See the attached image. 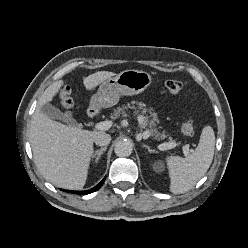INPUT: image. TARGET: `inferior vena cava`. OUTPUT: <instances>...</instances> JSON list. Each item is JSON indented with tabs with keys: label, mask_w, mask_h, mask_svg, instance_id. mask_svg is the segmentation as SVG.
<instances>
[{
	"label": "inferior vena cava",
	"mask_w": 248,
	"mask_h": 248,
	"mask_svg": "<svg viewBox=\"0 0 248 248\" xmlns=\"http://www.w3.org/2000/svg\"><path fill=\"white\" fill-rule=\"evenodd\" d=\"M110 141H111V136L104 132L98 133L94 138V142L98 146H107L110 143Z\"/></svg>",
	"instance_id": "1"
}]
</instances>
